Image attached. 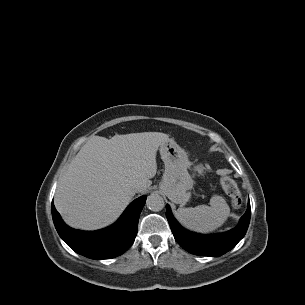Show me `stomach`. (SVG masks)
I'll use <instances>...</instances> for the list:
<instances>
[{"label": "stomach", "mask_w": 305, "mask_h": 305, "mask_svg": "<svg viewBox=\"0 0 305 305\" xmlns=\"http://www.w3.org/2000/svg\"><path fill=\"white\" fill-rule=\"evenodd\" d=\"M161 159L165 164L160 190L174 203L184 204L189 199L193 180L187 169L188 155L175 141L169 140L160 146Z\"/></svg>", "instance_id": "1"}]
</instances>
